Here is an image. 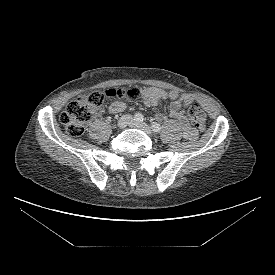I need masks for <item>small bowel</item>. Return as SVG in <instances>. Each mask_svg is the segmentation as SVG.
Segmentation results:
<instances>
[{"label": "small bowel", "instance_id": "1", "mask_svg": "<svg viewBox=\"0 0 275 275\" xmlns=\"http://www.w3.org/2000/svg\"><path fill=\"white\" fill-rule=\"evenodd\" d=\"M142 100L147 106H154L162 101L171 100L170 116L178 122L184 137L186 139H195L197 137V131L190 126L185 112V108L193 102L190 95L151 87L142 91ZM126 107V102L114 101L109 106V112L117 114L124 111Z\"/></svg>", "mask_w": 275, "mask_h": 275}]
</instances>
